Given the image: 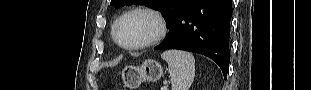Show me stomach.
I'll return each mask as SVG.
<instances>
[{
  "mask_svg": "<svg viewBox=\"0 0 311 90\" xmlns=\"http://www.w3.org/2000/svg\"><path fill=\"white\" fill-rule=\"evenodd\" d=\"M162 74V66L155 60L148 59L140 67H126L122 72V80L126 87L133 90L139 87L143 81L155 82L159 80Z\"/></svg>",
  "mask_w": 311,
  "mask_h": 90,
  "instance_id": "obj_1",
  "label": "stomach"
}]
</instances>
